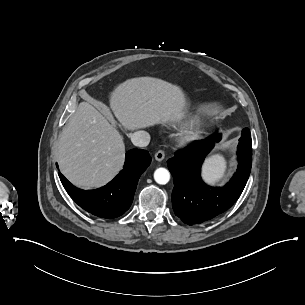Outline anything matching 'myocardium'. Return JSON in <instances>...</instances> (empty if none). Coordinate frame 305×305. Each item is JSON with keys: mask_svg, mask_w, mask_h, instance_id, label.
<instances>
[{"mask_svg": "<svg viewBox=\"0 0 305 305\" xmlns=\"http://www.w3.org/2000/svg\"><path fill=\"white\" fill-rule=\"evenodd\" d=\"M204 129L202 127L191 126L187 131V140L194 141L203 137Z\"/></svg>", "mask_w": 305, "mask_h": 305, "instance_id": "myocardium-1", "label": "myocardium"}]
</instances>
